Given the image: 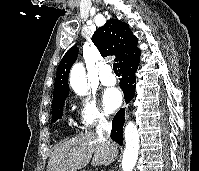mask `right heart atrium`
<instances>
[{
	"label": "right heart atrium",
	"instance_id": "d8ad5b80",
	"mask_svg": "<svg viewBox=\"0 0 199 171\" xmlns=\"http://www.w3.org/2000/svg\"><path fill=\"white\" fill-rule=\"evenodd\" d=\"M78 120L80 127L88 130L95 125L107 122L108 117L94 98L84 96L79 99Z\"/></svg>",
	"mask_w": 199,
	"mask_h": 171
}]
</instances>
